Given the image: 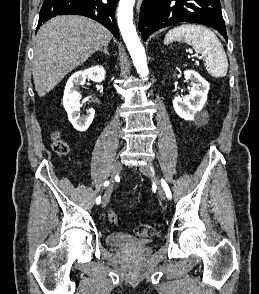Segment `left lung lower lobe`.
Returning a JSON list of instances; mask_svg holds the SVG:
<instances>
[{
  "instance_id": "0a47b994",
  "label": "left lung lower lobe",
  "mask_w": 259,
  "mask_h": 294,
  "mask_svg": "<svg viewBox=\"0 0 259 294\" xmlns=\"http://www.w3.org/2000/svg\"><path fill=\"white\" fill-rule=\"evenodd\" d=\"M180 22L212 27L227 41L220 0H143L139 30L144 41L153 32Z\"/></svg>"
}]
</instances>
